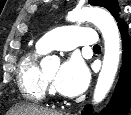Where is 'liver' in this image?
<instances>
[{
    "label": "liver",
    "instance_id": "1",
    "mask_svg": "<svg viewBox=\"0 0 131 115\" xmlns=\"http://www.w3.org/2000/svg\"><path fill=\"white\" fill-rule=\"evenodd\" d=\"M11 115H61L59 112L47 110L33 105H18L12 109Z\"/></svg>",
    "mask_w": 131,
    "mask_h": 115
}]
</instances>
